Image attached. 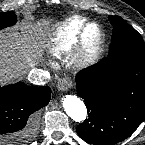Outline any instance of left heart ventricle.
<instances>
[{
  "label": "left heart ventricle",
  "instance_id": "obj_1",
  "mask_svg": "<svg viewBox=\"0 0 145 145\" xmlns=\"http://www.w3.org/2000/svg\"><path fill=\"white\" fill-rule=\"evenodd\" d=\"M95 36H96V30H95V28L91 27L88 31V37L91 40H94Z\"/></svg>",
  "mask_w": 145,
  "mask_h": 145
}]
</instances>
